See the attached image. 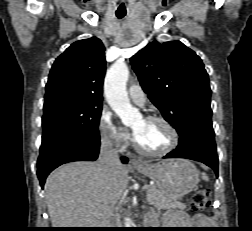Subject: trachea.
<instances>
[{
  "label": "trachea",
  "instance_id": "3493384b",
  "mask_svg": "<svg viewBox=\"0 0 252 231\" xmlns=\"http://www.w3.org/2000/svg\"><path fill=\"white\" fill-rule=\"evenodd\" d=\"M125 15H126L125 12H116V17H117L118 19H122Z\"/></svg>",
  "mask_w": 252,
  "mask_h": 231
}]
</instances>
